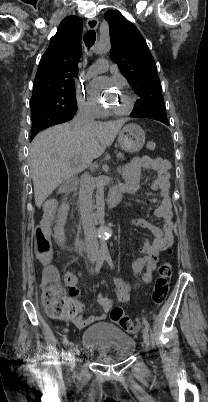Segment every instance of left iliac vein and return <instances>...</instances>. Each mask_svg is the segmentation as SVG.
Masks as SVG:
<instances>
[{"instance_id": "left-iliac-vein-1", "label": "left iliac vein", "mask_w": 208, "mask_h": 402, "mask_svg": "<svg viewBox=\"0 0 208 402\" xmlns=\"http://www.w3.org/2000/svg\"><path fill=\"white\" fill-rule=\"evenodd\" d=\"M142 333H143V341H144V344H145L146 348L149 349V346H150V337H149V332H148V330H147L146 327L143 328Z\"/></svg>"}]
</instances>
